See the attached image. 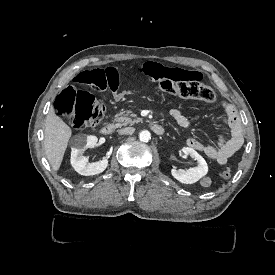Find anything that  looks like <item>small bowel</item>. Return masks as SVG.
I'll return each instance as SVG.
<instances>
[{"mask_svg":"<svg viewBox=\"0 0 275 275\" xmlns=\"http://www.w3.org/2000/svg\"><path fill=\"white\" fill-rule=\"evenodd\" d=\"M107 83L110 85L111 92L115 100L120 101L128 97L129 92L125 88H121L118 75L113 67L108 66L104 70ZM143 73L153 81L161 79L165 81L184 82L187 76H194L197 84L204 80V75L200 71L182 70L172 64L163 66L157 63H147L143 68ZM223 109V117L228 122V135L219 134L216 144H205L196 138H188L187 145L195 151L205 154L209 159L215 161L219 165H225L229 159L241 148L243 144V135L241 121L237 109L226 101L221 102ZM173 120L182 128L189 129L192 126L191 121L183 114L179 108H173L170 111Z\"/></svg>","mask_w":275,"mask_h":275,"instance_id":"small-bowel-1","label":"small bowel"}]
</instances>
